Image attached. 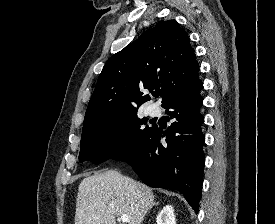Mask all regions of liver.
<instances>
[{"label":"liver","instance_id":"obj_1","mask_svg":"<svg viewBox=\"0 0 275 224\" xmlns=\"http://www.w3.org/2000/svg\"><path fill=\"white\" fill-rule=\"evenodd\" d=\"M154 199L152 189L118 171L96 173L79 184L75 224H116L121 215L141 224Z\"/></svg>","mask_w":275,"mask_h":224}]
</instances>
